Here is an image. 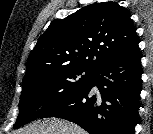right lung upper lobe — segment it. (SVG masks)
<instances>
[{
  "instance_id": "obj_1",
  "label": "right lung upper lobe",
  "mask_w": 153,
  "mask_h": 134,
  "mask_svg": "<svg viewBox=\"0 0 153 134\" xmlns=\"http://www.w3.org/2000/svg\"><path fill=\"white\" fill-rule=\"evenodd\" d=\"M137 45L130 14L117 2L85 6L51 22L28 57L24 79L60 67L94 70Z\"/></svg>"
}]
</instances>
